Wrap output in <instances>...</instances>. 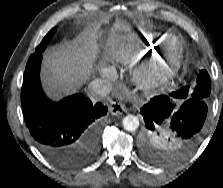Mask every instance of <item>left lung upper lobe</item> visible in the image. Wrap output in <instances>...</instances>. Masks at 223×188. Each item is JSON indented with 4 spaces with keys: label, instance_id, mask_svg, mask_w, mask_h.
I'll return each instance as SVG.
<instances>
[{
    "label": "left lung upper lobe",
    "instance_id": "5c2ea615",
    "mask_svg": "<svg viewBox=\"0 0 223 188\" xmlns=\"http://www.w3.org/2000/svg\"><path fill=\"white\" fill-rule=\"evenodd\" d=\"M210 91L209 74L206 70H201L192 90H189V86H186L172 94L175 98L183 101L193 98L201 102H207ZM141 152L146 160L158 165L172 164L187 155L180 150V144L172 133L162 128L156 130L143 129Z\"/></svg>",
    "mask_w": 223,
    "mask_h": 188
}]
</instances>
